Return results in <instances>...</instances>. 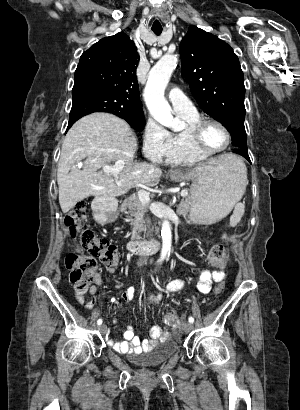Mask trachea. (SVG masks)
Masks as SVG:
<instances>
[{
	"label": "trachea",
	"mask_w": 300,
	"mask_h": 410,
	"mask_svg": "<svg viewBox=\"0 0 300 410\" xmlns=\"http://www.w3.org/2000/svg\"><path fill=\"white\" fill-rule=\"evenodd\" d=\"M152 31L156 34V35H160L162 33V29H152Z\"/></svg>",
	"instance_id": "trachea-1"
}]
</instances>
